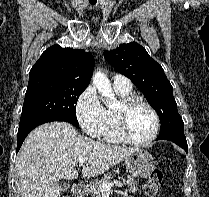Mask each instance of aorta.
Wrapping results in <instances>:
<instances>
[{
	"label": "aorta",
	"mask_w": 209,
	"mask_h": 197,
	"mask_svg": "<svg viewBox=\"0 0 209 197\" xmlns=\"http://www.w3.org/2000/svg\"><path fill=\"white\" fill-rule=\"evenodd\" d=\"M93 85L97 88L98 92L105 97L107 106L113 108L118 105V101L112 91L110 80L100 70L95 71L92 78Z\"/></svg>",
	"instance_id": "762f6f07"
}]
</instances>
